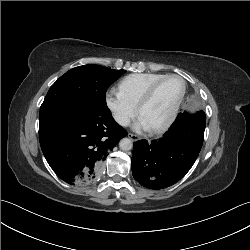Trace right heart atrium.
<instances>
[{
  "mask_svg": "<svg viewBox=\"0 0 250 250\" xmlns=\"http://www.w3.org/2000/svg\"><path fill=\"white\" fill-rule=\"evenodd\" d=\"M106 105L112 117L120 126H127L135 117L137 109L116 89L107 91Z\"/></svg>",
  "mask_w": 250,
  "mask_h": 250,
  "instance_id": "1",
  "label": "right heart atrium"
}]
</instances>
